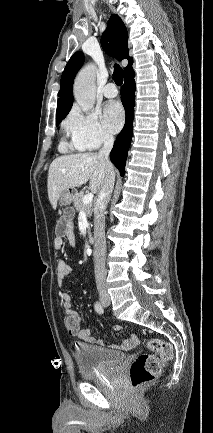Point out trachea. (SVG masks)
Here are the masks:
<instances>
[{
	"instance_id": "obj_1",
	"label": "trachea",
	"mask_w": 213,
	"mask_h": 433,
	"mask_svg": "<svg viewBox=\"0 0 213 433\" xmlns=\"http://www.w3.org/2000/svg\"><path fill=\"white\" fill-rule=\"evenodd\" d=\"M113 80L117 85H121L123 83V70L118 64L114 66Z\"/></svg>"
}]
</instances>
